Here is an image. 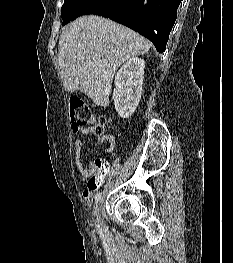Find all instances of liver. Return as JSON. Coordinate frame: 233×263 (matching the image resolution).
<instances>
[{
  "mask_svg": "<svg viewBox=\"0 0 233 263\" xmlns=\"http://www.w3.org/2000/svg\"><path fill=\"white\" fill-rule=\"evenodd\" d=\"M149 49L147 39L124 25L94 15L80 17L68 24L59 38L64 84L70 92L80 90L96 105L107 107L117 69Z\"/></svg>",
  "mask_w": 233,
  "mask_h": 263,
  "instance_id": "1",
  "label": "liver"
}]
</instances>
